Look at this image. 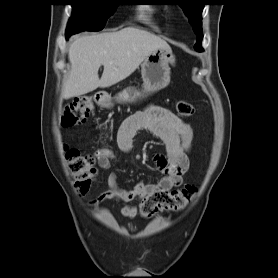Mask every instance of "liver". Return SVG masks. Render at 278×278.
Instances as JSON below:
<instances>
[{
  "label": "liver",
  "instance_id": "1",
  "mask_svg": "<svg viewBox=\"0 0 278 278\" xmlns=\"http://www.w3.org/2000/svg\"><path fill=\"white\" fill-rule=\"evenodd\" d=\"M156 49H170L160 37L137 28L76 38L69 47L71 71L63 87L66 99L110 87L130 76ZM104 66L99 79L98 70Z\"/></svg>",
  "mask_w": 278,
  "mask_h": 278
}]
</instances>
